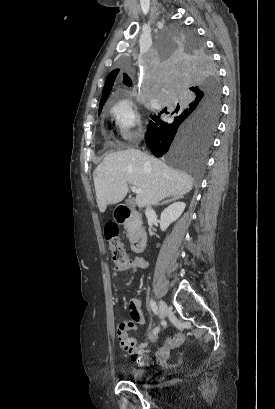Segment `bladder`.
<instances>
[{
    "label": "bladder",
    "mask_w": 275,
    "mask_h": 409,
    "mask_svg": "<svg viewBox=\"0 0 275 409\" xmlns=\"http://www.w3.org/2000/svg\"><path fill=\"white\" fill-rule=\"evenodd\" d=\"M126 375L133 382H150L151 375L147 368L130 367L126 370Z\"/></svg>",
    "instance_id": "1"
}]
</instances>
